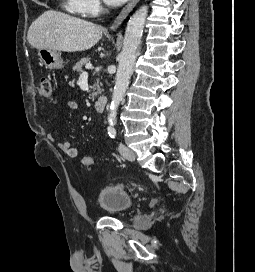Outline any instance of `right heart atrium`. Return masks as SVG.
<instances>
[{
	"label": "right heart atrium",
	"mask_w": 255,
	"mask_h": 272,
	"mask_svg": "<svg viewBox=\"0 0 255 272\" xmlns=\"http://www.w3.org/2000/svg\"><path fill=\"white\" fill-rule=\"evenodd\" d=\"M78 11L83 15H94L100 10L99 0H76Z\"/></svg>",
	"instance_id": "1"
}]
</instances>
